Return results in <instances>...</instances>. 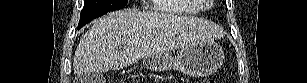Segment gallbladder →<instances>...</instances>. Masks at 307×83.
Listing matches in <instances>:
<instances>
[{"instance_id": "bac80fb5", "label": "gallbladder", "mask_w": 307, "mask_h": 83, "mask_svg": "<svg viewBox=\"0 0 307 83\" xmlns=\"http://www.w3.org/2000/svg\"><path fill=\"white\" fill-rule=\"evenodd\" d=\"M104 80V77L101 73H88L81 80L82 83H101Z\"/></svg>"}]
</instances>
